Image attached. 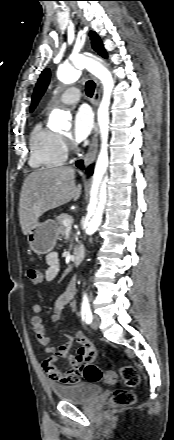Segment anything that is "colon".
<instances>
[{
	"label": "colon",
	"mask_w": 174,
	"mask_h": 440,
	"mask_svg": "<svg viewBox=\"0 0 174 440\" xmlns=\"http://www.w3.org/2000/svg\"><path fill=\"white\" fill-rule=\"evenodd\" d=\"M28 278L33 283H41L43 280L42 269L37 265H31L27 269ZM47 366L44 364V369ZM121 376L128 387H137L140 384V376L138 371L130 365H124L120 370ZM82 377L89 382H106L114 384L117 381V376L111 371H102L92 361L85 364L82 370ZM135 394L127 389H117L111 397V405L115 408L128 407L135 403Z\"/></svg>",
	"instance_id": "5ec220e1"
}]
</instances>
